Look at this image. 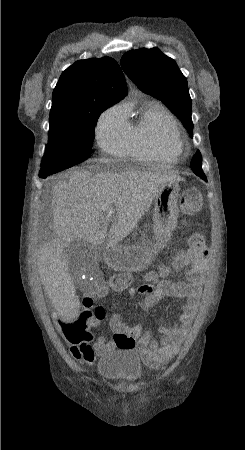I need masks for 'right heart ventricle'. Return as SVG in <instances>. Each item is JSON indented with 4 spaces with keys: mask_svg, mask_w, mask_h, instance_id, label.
<instances>
[{
    "mask_svg": "<svg viewBox=\"0 0 245 450\" xmlns=\"http://www.w3.org/2000/svg\"><path fill=\"white\" fill-rule=\"evenodd\" d=\"M131 108H125L128 123V152L138 160L175 161L178 154L161 141L159 130L162 122L172 116L157 101H149L139 110L135 120H130Z\"/></svg>",
    "mask_w": 245,
    "mask_h": 450,
    "instance_id": "right-heart-ventricle-1",
    "label": "right heart ventricle"
}]
</instances>
